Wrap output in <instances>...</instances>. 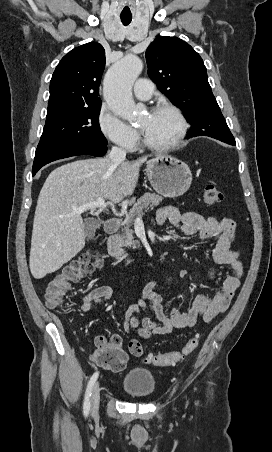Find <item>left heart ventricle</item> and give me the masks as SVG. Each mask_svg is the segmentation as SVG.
<instances>
[{
	"label": "left heart ventricle",
	"instance_id": "1",
	"mask_svg": "<svg viewBox=\"0 0 272 452\" xmlns=\"http://www.w3.org/2000/svg\"><path fill=\"white\" fill-rule=\"evenodd\" d=\"M138 128L147 141L162 144L172 140L177 132L178 123L170 113L158 112L144 116Z\"/></svg>",
	"mask_w": 272,
	"mask_h": 452
}]
</instances>
